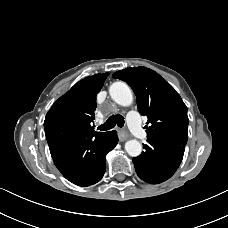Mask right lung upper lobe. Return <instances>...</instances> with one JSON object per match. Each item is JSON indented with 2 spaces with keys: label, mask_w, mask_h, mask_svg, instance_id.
I'll use <instances>...</instances> for the list:
<instances>
[{
  "label": "right lung upper lobe",
  "mask_w": 228,
  "mask_h": 228,
  "mask_svg": "<svg viewBox=\"0 0 228 228\" xmlns=\"http://www.w3.org/2000/svg\"><path fill=\"white\" fill-rule=\"evenodd\" d=\"M108 75L109 73H103L86 77L55 101L45 117V134L51 129L64 126H71L75 135L95 134L91 122L95 118L96 95Z\"/></svg>",
  "instance_id": "cb5924a9"
}]
</instances>
